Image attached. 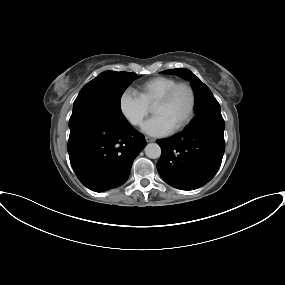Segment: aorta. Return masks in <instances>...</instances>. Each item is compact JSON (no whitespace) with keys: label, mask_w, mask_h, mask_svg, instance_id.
I'll use <instances>...</instances> for the list:
<instances>
[{"label":"aorta","mask_w":285,"mask_h":285,"mask_svg":"<svg viewBox=\"0 0 285 285\" xmlns=\"http://www.w3.org/2000/svg\"><path fill=\"white\" fill-rule=\"evenodd\" d=\"M145 154L151 159H157L161 155V148L157 143H149L146 145Z\"/></svg>","instance_id":"obj_1"}]
</instances>
